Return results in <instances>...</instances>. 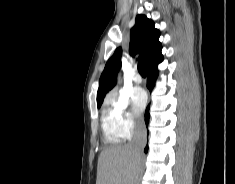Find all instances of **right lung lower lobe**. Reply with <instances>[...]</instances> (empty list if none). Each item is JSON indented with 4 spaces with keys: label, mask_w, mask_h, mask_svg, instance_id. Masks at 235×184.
I'll use <instances>...</instances> for the list:
<instances>
[{
    "label": "right lung lower lobe",
    "mask_w": 235,
    "mask_h": 184,
    "mask_svg": "<svg viewBox=\"0 0 235 184\" xmlns=\"http://www.w3.org/2000/svg\"><path fill=\"white\" fill-rule=\"evenodd\" d=\"M163 58L161 60H159L158 62H156L155 64L149 66L146 68V71H147V88L151 91L154 87V82L157 78V75H158V69H157V65L162 62ZM149 107L150 105H148V107L146 108V111H145V123L146 125H148L149 123V117H150V114H149ZM148 151V146L145 147V152L147 153Z\"/></svg>",
    "instance_id": "98d812e1"
}]
</instances>
